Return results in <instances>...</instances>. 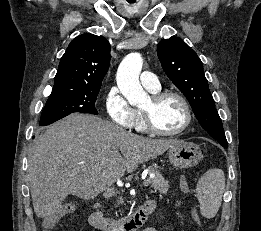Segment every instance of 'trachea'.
Listing matches in <instances>:
<instances>
[{"instance_id": "1", "label": "trachea", "mask_w": 261, "mask_h": 231, "mask_svg": "<svg viewBox=\"0 0 261 231\" xmlns=\"http://www.w3.org/2000/svg\"><path fill=\"white\" fill-rule=\"evenodd\" d=\"M129 3H134L136 0H127Z\"/></svg>"}]
</instances>
